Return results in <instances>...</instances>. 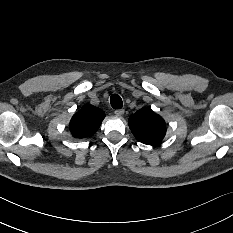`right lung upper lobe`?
Instances as JSON below:
<instances>
[{"instance_id": "obj_1", "label": "right lung upper lobe", "mask_w": 233, "mask_h": 233, "mask_svg": "<svg viewBox=\"0 0 233 233\" xmlns=\"http://www.w3.org/2000/svg\"><path fill=\"white\" fill-rule=\"evenodd\" d=\"M105 114L95 106L85 105L71 119L70 130L75 138L91 137L100 127Z\"/></svg>"}]
</instances>
